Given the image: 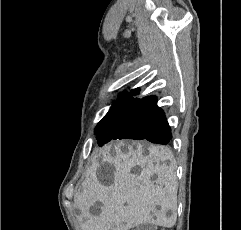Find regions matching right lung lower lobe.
Segmentation results:
<instances>
[{
	"label": "right lung lower lobe",
	"mask_w": 241,
	"mask_h": 230,
	"mask_svg": "<svg viewBox=\"0 0 241 230\" xmlns=\"http://www.w3.org/2000/svg\"><path fill=\"white\" fill-rule=\"evenodd\" d=\"M156 102V97L149 102L141 114L140 123L133 127L134 133L138 134V140L146 139L152 143L168 144L172 138L171 129L164 111L157 106Z\"/></svg>",
	"instance_id": "1"
}]
</instances>
